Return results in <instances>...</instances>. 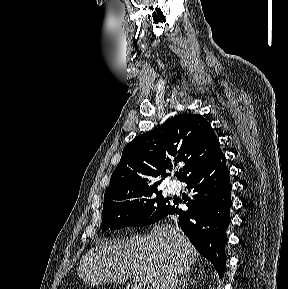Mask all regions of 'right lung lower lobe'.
<instances>
[{
    "mask_svg": "<svg viewBox=\"0 0 288 289\" xmlns=\"http://www.w3.org/2000/svg\"><path fill=\"white\" fill-rule=\"evenodd\" d=\"M183 182L195 193L186 204L187 211L178 208L179 202L164 214L179 215V225L197 251L214 265L220 277L226 266L224 245L226 229L231 221L232 206L229 170L220 152L212 161L190 174ZM163 217V218H164Z\"/></svg>",
    "mask_w": 288,
    "mask_h": 289,
    "instance_id": "98d812e1",
    "label": "right lung lower lobe"
}]
</instances>
